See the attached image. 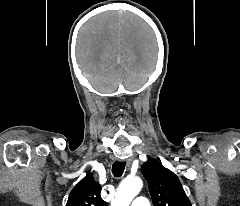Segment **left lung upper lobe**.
Returning a JSON list of instances; mask_svg holds the SVG:
<instances>
[{
  "instance_id": "obj_1",
  "label": "left lung upper lobe",
  "mask_w": 240,
  "mask_h": 206,
  "mask_svg": "<svg viewBox=\"0 0 240 206\" xmlns=\"http://www.w3.org/2000/svg\"><path fill=\"white\" fill-rule=\"evenodd\" d=\"M142 173L155 206H192L178 177L157 160L145 162Z\"/></svg>"
}]
</instances>
